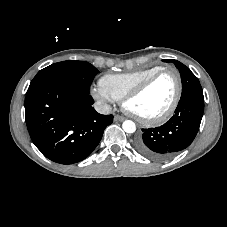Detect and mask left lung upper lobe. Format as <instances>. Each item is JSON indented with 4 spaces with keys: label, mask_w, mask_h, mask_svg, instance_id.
Wrapping results in <instances>:
<instances>
[{
    "label": "left lung upper lobe",
    "mask_w": 227,
    "mask_h": 227,
    "mask_svg": "<svg viewBox=\"0 0 227 227\" xmlns=\"http://www.w3.org/2000/svg\"><path fill=\"white\" fill-rule=\"evenodd\" d=\"M164 62H173L181 75L182 81V95L184 96L189 93H203L198 78L191 72V70L184 64L177 60L166 59Z\"/></svg>",
    "instance_id": "1"
}]
</instances>
